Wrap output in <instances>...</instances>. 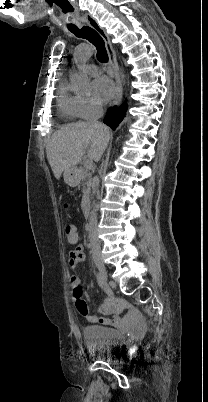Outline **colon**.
I'll return each mask as SVG.
<instances>
[{
  "mask_svg": "<svg viewBox=\"0 0 208 402\" xmlns=\"http://www.w3.org/2000/svg\"><path fill=\"white\" fill-rule=\"evenodd\" d=\"M63 239L66 244H68L71 248L73 244H77L79 241V237L77 235L76 227L73 224H66L63 229ZM75 307L78 312L84 314L87 310V304L84 299H76Z\"/></svg>",
  "mask_w": 208,
  "mask_h": 402,
  "instance_id": "obj_1",
  "label": "colon"
}]
</instances>
